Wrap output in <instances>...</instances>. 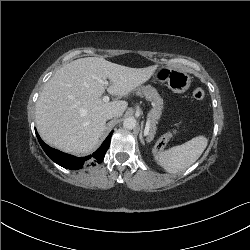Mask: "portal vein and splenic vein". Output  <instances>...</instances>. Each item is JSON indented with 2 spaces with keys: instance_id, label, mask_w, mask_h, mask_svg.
<instances>
[{
  "instance_id": "18ae733b",
  "label": "portal vein and splenic vein",
  "mask_w": 250,
  "mask_h": 250,
  "mask_svg": "<svg viewBox=\"0 0 250 250\" xmlns=\"http://www.w3.org/2000/svg\"><path fill=\"white\" fill-rule=\"evenodd\" d=\"M104 84L107 86L108 85V81H104ZM103 101L104 102H109V97L108 96H104L103 97ZM150 129V118L147 119L146 122V133L149 132Z\"/></svg>"
}]
</instances>
